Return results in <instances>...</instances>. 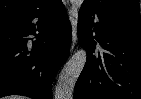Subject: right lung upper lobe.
<instances>
[{
  "instance_id": "1",
  "label": "right lung upper lobe",
  "mask_w": 141,
  "mask_h": 99,
  "mask_svg": "<svg viewBox=\"0 0 141 99\" xmlns=\"http://www.w3.org/2000/svg\"><path fill=\"white\" fill-rule=\"evenodd\" d=\"M55 0H0V19L45 8Z\"/></svg>"
}]
</instances>
